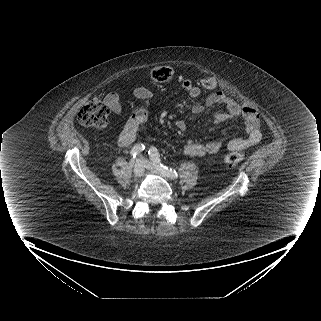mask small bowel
Segmentation results:
<instances>
[{"label": "small bowel", "instance_id": "small-bowel-1", "mask_svg": "<svg viewBox=\"0 0 321 321\" xmlns=\"http://www.w3.org/2000/svg\"><path fill=\"white\" fill-rule=\"evenodd\" d=\"M183 90L192 98H197L201 95V88L192 83L189 79H184L182 82ZM134 94L138 98L148 101H153V95L145 88L138 87L134 90ZM105 101L110 110L119 115L121 113V103L118 94L111 92L105 96ZM224 104L225 112H217L214 115L216 121H226L229 119L241 117L245 123V136L233 138L227 143V149L230 151H239L256 145L262 138V129L260 116L258 111L250 105H240L236 101L227 97L220 91H215L208 95L203 104L193 105L191 111L194 115L201 114L206 107ZM147 118V113L140 110L133 114L127 121L125 128L120 133L118 145L122 148L130 146L137 138L138 134L144 128ZM176 126L179 130L185 129V121L178 119ZM222 146L219 140H212L207 143H191L185 145L181 149V153L190 157H203L207 154L216 153Z\"/></svg>", "mask_w": 321, "mask_h": 321}]
</instances>
